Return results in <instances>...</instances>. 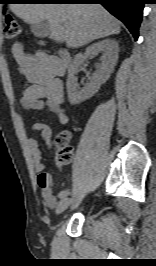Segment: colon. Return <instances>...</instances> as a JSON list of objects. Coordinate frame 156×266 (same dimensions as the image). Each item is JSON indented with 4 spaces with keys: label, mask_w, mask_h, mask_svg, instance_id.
Segmentation results:
<instances>
[{
    "label": "colon",
    "mask_w": 156,
    "mask_h": 266,
    "mask_svg": "<svg viewBox=\"0 0 156 266\" xmlns=\"http://www.w3.org/2000/svg\"><path fill=\"white\" fill-rule=\"evenodd\" d=\"M3 29L7 39H15L21 32L18 21L9 13L4 14ZM69 140V132H61L54 140L56 147L55 161L58 166H64L71 160V149L68 146Z\"/></svg>",
    "instance_id": "colon-1"
}]
</instances>
